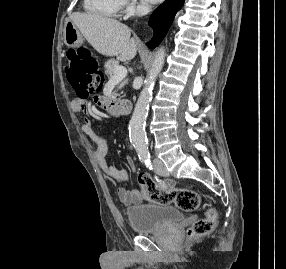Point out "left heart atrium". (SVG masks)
Listing matches in <instances>:
<instances>
[{"instance_id":"left-heart-atrium-1","label":"left heart atrium","mask_w":286,"mask_h":269,"mask_svg":"<svg viewBox=\"0 0 286 269\" xmlns=\"http://www.w3.org/2000/svg\"><path fill=\"white\" fill-rule=\"evenodd\" d=\"M147 4L153 5L161 2L162 0H144Z\"/></svg>"}]
</instances>
